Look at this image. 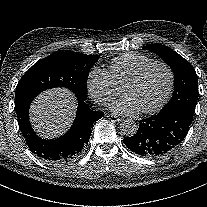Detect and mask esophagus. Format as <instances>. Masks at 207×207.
I'll return each mask as SVG.
<instances>
[{"label":"esophagus","instance_id":"1","mask_svg":"<svg viewBox=\"0 0 207 207\" xmlns=\"http://www.w3.org/2000/svg\"><path fill=\"white\" fill-rule=\"evenodd\" d=\"M108 119L112 121L114 125H119L121 123V118L116 115H107Z\"/></svg>","mask_w":207,"mask_h":207}]
</instances>
